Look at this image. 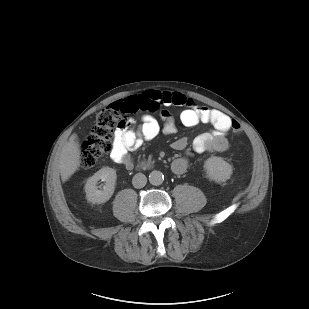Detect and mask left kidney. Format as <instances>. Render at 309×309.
<instances>
[{
    "label": "left kidney",
    "mask_w": 309,
    "mask_h": 309,
    "mask_svg": "<svg viewBox=\"0 0 309 309\" xmlns=\"http://www.w3.org/2000/svg\"><path fill=\"white\" fill-rule=\"evenodd\" d=\"M209 179L218 183L225 182L232 175V166L221 157H210L204 163Z\"/></svg>",
    "instance_id": "5707ae66"
}]
</instances>
